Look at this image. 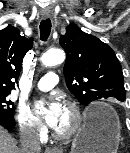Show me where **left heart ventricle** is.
I'll use <instances>...</instances> for the list:
<instances>
[{
	"mask_svg": "<svg viewBox=\"0 0 130 153\" xmlns=\"http://www.w3.org/2000/svg\"><path fill=\"white\" fill-rule=\"evenodd\" d=\"M72 122V115L70 111L62 106V110L57 123L53 126L54 129L64 131L69 128Z\"/></svg>",
	"mask_w": 130,
	"mask_h": 153,
	"instance_id": "left-heart-ventricle-1",
	"label": "left heart ventricle"
}]
</instances>
